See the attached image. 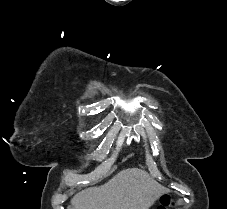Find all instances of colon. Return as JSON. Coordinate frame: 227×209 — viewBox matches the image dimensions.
<instances>
[{"label": "colon", "instance_id": "1", "mask_svg": "<svg viewBox=\"0 0 227 209\" xmlns=\"http://www.w3.org/2000/svg\"><path fill=\"white\" fill-rule=\"evenodd\" d=\"M175 203L173 202L170 195H163L160 199V204L158 205L157 209H172Z\"/></svg>", "mask_w": 227, "mask_h": 209}]
</instances>
